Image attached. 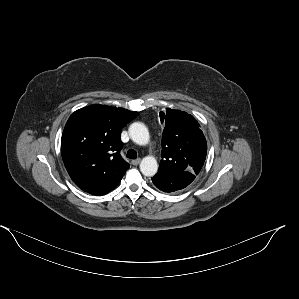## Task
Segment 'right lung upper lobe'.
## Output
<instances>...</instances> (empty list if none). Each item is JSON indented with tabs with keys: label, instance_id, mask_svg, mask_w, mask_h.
Listing matches in <instances>:
<instances>
[{
	"label": "right lung upper lobe",
	"instance_id": "1",
	"mask_svg": "<svg viewBox=\"0 0 299 299\" xmlns=\"http://www.w3.org/2000/svg\"><path fill=\"white\" fill-rule=\"evenodd\" d=\"M138 112L105 105H90L68 119L61 139L64 165L83 191L104 195L113 190L129 168L120 156L121 129Z\"/></svg>",
	"mask_w": 299,
	"mask_h": 299
}]
</instances>
